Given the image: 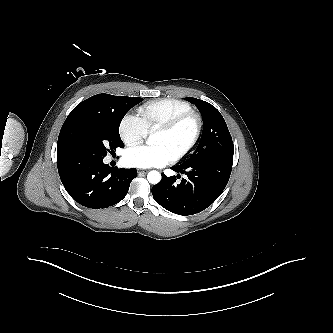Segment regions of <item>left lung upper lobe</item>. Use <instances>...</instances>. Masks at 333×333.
<instances>
[{"label": "left lung upper lobe", "instance_id": "5c2ea615", "mask_svg": "<svg viewBox=\"0 0 333 333\" xmlns=\"http://www.w3.org/2000/svg\"><path fill=\"white\" fill-rule=\"evenodd\" d=\"M185 99L199 109L204 127L195 152L182 164L211 158L233 160L234 146L232 137L220 112L213 105L203 100L191 97Z\"/></svg>", "mask_w": 333, "mask_h": 333}]
</instances>
